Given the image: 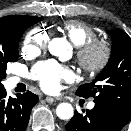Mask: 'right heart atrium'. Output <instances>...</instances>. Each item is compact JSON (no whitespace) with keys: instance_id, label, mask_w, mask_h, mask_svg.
I'll use <instances>...</instances> for the list:
<instances>
[{"instance_id":"obj_1","label":"right heart atrium","mask_w":131,"mask_h":131,"mask_svg":"<svg viewBox=\"0 0 131 131\" xmlns=\"http://www.w3.org/2000/svg\"><path fill=\"white\" fill-rule=\"evenodd\" d=\"M50 35L49 32L42 27L30 29L22 41V53L25 56L38 55L47 47Z\"/></svg>"}]
</instances>
